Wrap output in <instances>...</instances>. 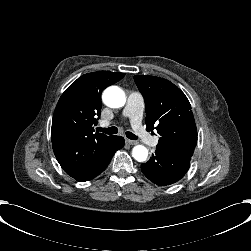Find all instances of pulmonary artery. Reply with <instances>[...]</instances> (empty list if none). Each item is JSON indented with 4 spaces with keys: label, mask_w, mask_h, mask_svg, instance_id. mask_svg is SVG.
Masks as SVG:
<instances>
[{
    "label": "pulmonary artery",
    "mask_w": 251,
    "mask_h": 251,
    "mask_svg": "<svg viewBox=\"0 0 251 251\" xmlns=\"http://www.w3.org/2000/svg\"><path fill=\"white\" fill-rule=\"evenodd\" d=\"M144 100L137 93H130L126 99L122 115L124 117L129 118L130 124L134 131L140 135V141L143 144L147 145H156L157 138L154 135L145 132L142 127V120L144 115ZM99 125L101 127H105L109 125V121L107 120H99Z\"/></svg>",
    "instance_id": "e3ab8cb5"
}]
</instances>
